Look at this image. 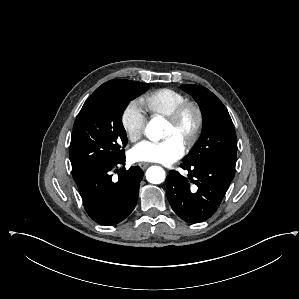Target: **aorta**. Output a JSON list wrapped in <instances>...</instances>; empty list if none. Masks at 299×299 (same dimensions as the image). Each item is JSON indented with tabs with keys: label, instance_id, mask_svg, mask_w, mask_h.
I'll return each mask as SVG.
<instances>
[{
	"label": "aorta",
	"instance_id": "obj_1",
	"mask_svg": "<svg viewBox=\"0 0 299 299\" xmlns=\"http://www.w3.org/2000/svg\"><path fill=\"white\" fill-rule=\"evenodd\" d=\"M166 126V120L157 116L147 124L145 133L151 141H158L164 137L163 129ZM146 179L152 184H160L165 180V171L159 166H152L146 171Z\"/></svg>",
	"mask_w": 299,
	"mask_h": 299
}]
</instances>
